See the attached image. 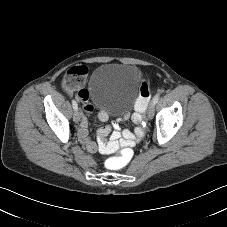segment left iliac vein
<instances>
[{
	"label": "left iliac vein",
	"mask_w": 227,
	"mask_h": 227,
	"mask_svg": "<svg viewBox=\"0 0 227 227\" xmlns=\"http://www.w3.org/2000/svg\"><path fill=\"white\" fill-rule=\"evenodd\" d=\"M155 105L156 103L154 101H151V103L148 106V110H147V118L150 120L153 118L154 116V112H155Z\"/></svg>",
	"instance_id": "1"
}]
</instances>
